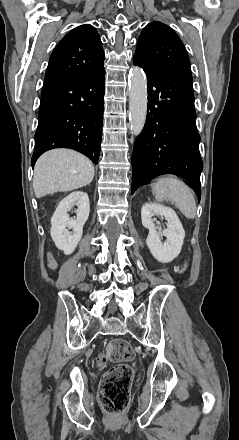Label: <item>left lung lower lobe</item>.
<instances>
[{
    "label": "left lung lower lobe",
    "instance_id": "obj_1",
    "mask_svg": "<svg viewBox=\"0 0 239 440\" xmlns=\"http://www.w3.org/2000/svg\"><path fill=\"white\" fill-rule=\"evenodd\" d=\"M133 63L147 74L149 99L146 123L132 154V193L142 181L174 174L188 180L200 200L203 162L191 71L148 66L135 57Z\"/></svg>",
    "mask_w": 239,
    "mask_h": 440
}]
</instances>
